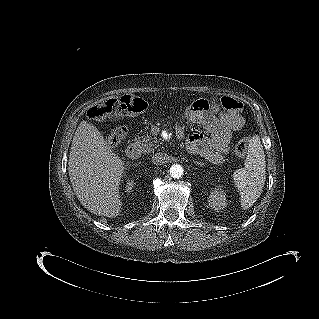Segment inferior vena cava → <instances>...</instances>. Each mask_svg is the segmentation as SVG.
Here are the masks:
<instances>
[{
  "instance_id": "1",
  "label": "inferior vena cava",
  "mask_w": 319,
  "mask_h": 319,
  "mask_svg": "<svg viewBox=\"0 0 319 319\" xmlns=\"http://www.w3.org/2000/svg\"><path fill=\"white\" fill-rule=\"evenodd\" d=\"M167 159H168L167 155L162 152L155 153L152 156V162L155 165H163L167 162Z\"/></svg>"
}]
</instances>
